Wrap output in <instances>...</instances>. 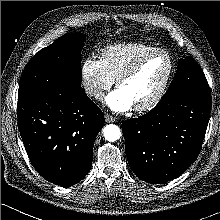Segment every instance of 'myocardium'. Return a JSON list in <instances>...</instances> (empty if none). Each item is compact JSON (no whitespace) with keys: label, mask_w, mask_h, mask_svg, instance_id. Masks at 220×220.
Listing matches in <instances>:
<instances>
[{"label":"myocardium","mask_w":220,"mask_h":220,"mask_svg":"<svg viewBox=\"0 0 220 220\" xmlns=\"http://www.w3.org/2000/svg\"><path fill=\"white\" fill-rule=\"evenodd\" d=\"M156 54H163L165 55L169 60V70L166 75V78L159 88V90L156 92V94L146 102L137 105L134 107V109L138 112L148 111L155 106H157L161 100L164 98L175 73V61L172 55L166 51L165 49L161 48H155L153 50H150L144 54H142L140 57H138L127 69H125L117 78H116V85L119 86L124 80L134 76L141 68L142 64L151 56H154Z\"/></svg>","instance_id":"obj_1"}]
</instances>
